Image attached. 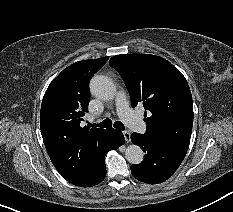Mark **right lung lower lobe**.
<instances>
[{"label": "right lung lower lobe", "mask_w": 233, "mask_h": 212, "mask_svg": "<svg viewBox=\"0 0 233 212\" xmlns=\"http://www.w3.org/2000/svg\"><path fill=\"white\" fill-rule=\"evenodd\" d=\"M124 142V136L121 131L112 128L108 129L105 138L95 152L89 170L70 181V183L81 187H91L103 181L106 176L104 161L106 153L110 150L118 149Z\"/></svg>", "instance_id": "1"}]
</instances>
